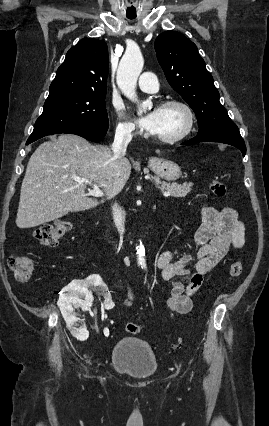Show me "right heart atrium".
Here are the masks:
<instances>
[{
  "label": "right heart atrium",
  "mask_w": 269,
  "mask_h": 426,
  "mask_svg": "<svg viewBox=\"0 0 269 426\" xmlns=\"http://www.w3.org/2000/svg\"><path fill=\"white\" fill-rule=\"evenodd\" d=\"M117 123H116V133L122 137H132L136 134L135 125L129 121L123 110L119 107L115 108Z\"/></svg>",
  "instance_id": "1"
}]
</instances>
